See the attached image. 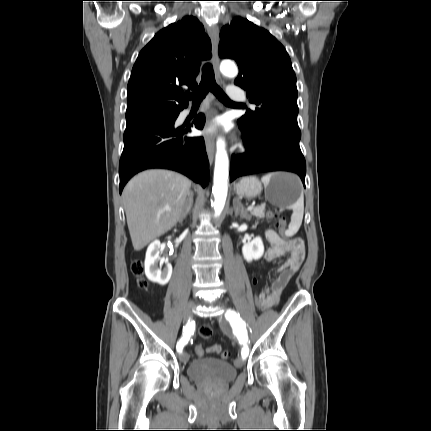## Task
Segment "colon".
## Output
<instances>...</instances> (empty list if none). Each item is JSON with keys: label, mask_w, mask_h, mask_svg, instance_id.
<instances>
[{"label": "colon", "mask_w": 431, "mask_h": 431, "mask_svg": "<svg viewBox=\"0 0 431 431\" xmlns=\"http://www.w3.org/2000/svg\"><path fill=\"white\" fill-rule=\"evenodd\" d=\"M268 217L273 218L275 217V213L270 211L268 212ZM276 226L279 230V232L281 233V237H285V233H286V219H278L276 218ZM131 270L132 273L138 277V286L142 289H146L148 287V282L147 280L143 277L144 275V264L141 260H135L132 265H131ZM254 283L258 284L260 283V278L256 277L254 278ZM259 295L257 294H252L251 295V300H252V304L254 305V307H257V311L259 312L261 310V305H259L260 300H259ZM199 335L203 338V339H209L212 337L213 335V329L210 325L208 324H204L199 328ZM194 350H195V354H196V358L198 360H201L204 357V350H203V345L200 342H196L194 343ZM229 356L228 352H222V357L223 358H227Z\"/></svg>", "instance_id": "colon-1"}]
</instances>
